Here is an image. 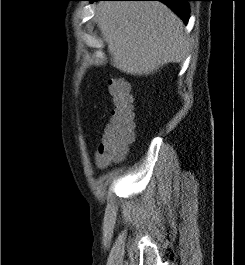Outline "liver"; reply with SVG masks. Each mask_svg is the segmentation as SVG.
Wrapping results in <instances>:
<instances>
[{
  "mask_svg": "<svg viewBox=\"0 0 245 265\" xmlns=\"http://www.w3.org/2000/svg\"><path fill=\"white\" fill-rule=\"evenodd\" d=\"M95 20L113 64L128 74H154L187 54L184 23L161 2L101 1Z\"/></svg>",
  "mask_w": 245,
  "mask_h": 265,
  "instance_id": "1",
  "label": "liver"
}]
</instances>
